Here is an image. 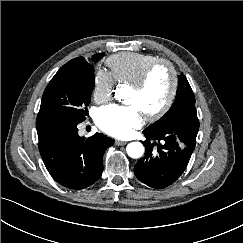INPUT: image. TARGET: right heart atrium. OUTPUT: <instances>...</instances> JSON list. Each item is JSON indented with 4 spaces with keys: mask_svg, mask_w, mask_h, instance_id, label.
Segmentation results:
<instances>
[{
    "mask_svg": "<svg viewBox=\"0 0 243 243\" xmlns=\"http://www.w3.org/2000/svg\"><path fill=\"white\" fill-rule=\"evenodd\" d=\"M115 80L110 72L98 69L93 76L92 94L96 101L102 102L109 99L115 88Z\"/></svg>",
    "mask_w": 243,
    "mask_h": 243,
    "instance_id": "obj_1",
    "label": "right heart atrium"
}]
</instances>
